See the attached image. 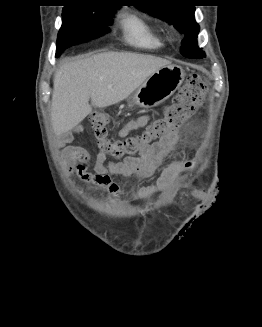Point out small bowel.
I'll return each instance as SVG.
<instances>
[{
  "label": "small bowel",
  "instance_id": "small-bowel-1",
  "mask_svg": "<svg viewBox=\"0 0 262 327\" xmlns=\"http://www.w3.org/2000/svg\"><path fill=\"white\" fill-rule=\"evenodd\" d=\"M149 115H140L127 120L118 130V136L126 137L130 132L145 127L150 121ZM72 133H68L62 142H69ZM178 141V132L152 144L139 157L126 159L124 162H106V155L98 152L94 164V171H89V159L86 150L78 146H66L62 152V164L69 172H76L78 177L96 188L108 191L109 200H120L124 193L120 186L112 179V175L134 178H149L158 170L163 157L168 154ZM193 164L190 161L177 160L170 163L162 172L155 185L142 187L137 197H147L158 191H167L174 188L180 176ZM193 199H205L206 188H190Z\"/></svg>",
  "mask_w": 262,
  "mask_h": 327
}]
</instances>
